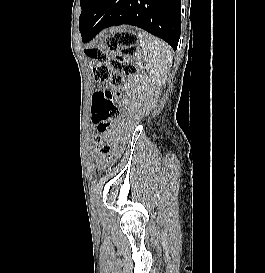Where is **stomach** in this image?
Segmentation results:
<instances>
[{"label": "stomach", "mask_w": 265, "mask_h": 273, "mask_svg": "<svg viewBox=\"0 0 265 273\" xmlns=\"http://www.w3.org/2000/svg\"><path fill=\"white\" fill-rule=\"evenodd\" d=\"M123 29H124V30H131V29H132V26H131V25H124V26H123Z\"/></svg>", "instance_id": "1"}]
</instances>
